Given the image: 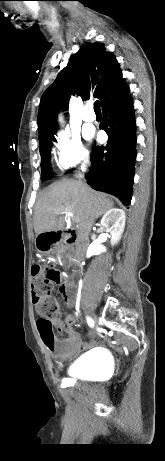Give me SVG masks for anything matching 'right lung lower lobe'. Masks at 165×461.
<instances>
[{
    "label": "right lung lower lobe",
    "instance_id": "obj_1",
    "mask_svg": "<svg viewBox=\"0 0 165 461\" xmlns=\"http://www.w3.org/2000/svg\"><path fill=\"white\" fill-rule=\"evenodd\" d=\"M133 100L128 93L103 109L101 129L109 136L106 146H94L86 175L95 190L118 197L129 205L132 197L136 137ZM71 169L70 171H72Z\"/></svg>",
    "mask_w": 165,
    "mask_h": 461
}]
</instances>
